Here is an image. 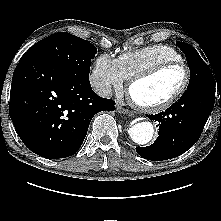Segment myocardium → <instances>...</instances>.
<instances>
[{
  "label": "myocardium",
  "mask_w": 221,
  "mask_h": 221,
  "mask_svg": "<svg viewBox=\"0 0 221 221\" xmlns=\"http://www.w3.org/2000/svg\"><path fill=\"white\" fill-rule=\"evenodd\" d=\"M175 66H180L184 69L185 71L184 81L181 87L167 100L158 104H154V105H145V104L138 102L133 97L132 89L137 83L144 81L146 79H149L155 76L156 74L168 68L175 67ZM190 81H191V71H190L189 66L183 61L170 60V61L158 63L148 68L147 70L140 72L137 75L133 76L129 81V84L127 87V93H128L130 101L132 102L135 108L144 112H148V113H158V112L165 111L169 109L170 107H172L185 94V92L187 91L190 85Z\"/></svg>",
  "instance_id": "obj_1"
}]
</instances>
